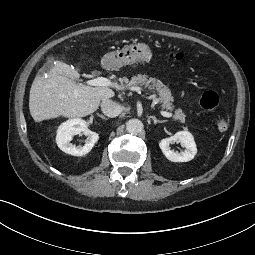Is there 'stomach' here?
I'll return each mask as SVG.
<instances>
[{"instance_id": "1", "label": "stomach", "mask_w": 255, "mask_h": 255, "mask_svg": "<svg viewBox=\"0 0 255 255\" xmlns=\"http://www.w3.org/2000/svg\"><path fill=\"white\" fill-rule=\"evenodd\" d=\"M152 58V52L145 43H132L121 50L107 53L103 62L114 68H121L136 62H148Z\"/></svg>"}]
</instances>
